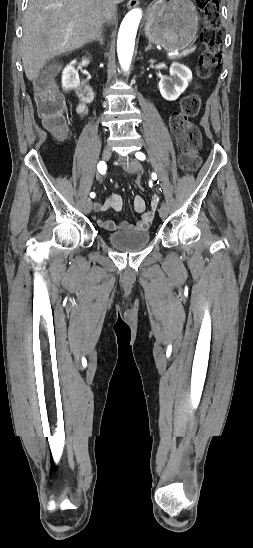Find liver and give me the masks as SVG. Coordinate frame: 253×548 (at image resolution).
<instances>
[{
    "instance_id": "obj_1",
    "label": "liver",
    "mask_w": 253,
    "mask_h": 548,
    "mask_svg": "<svg viewBox=\"0 0 253 548\" xmlns=\"http://www.w3.org/2000/svg\"><path fill=\"white\" fill-rule=\"evenodd\" d=\"M103 12L104 0H29L21 46L27 79L35 80L48 60L94 39Z\"/></svg>"
}]
</instances>
